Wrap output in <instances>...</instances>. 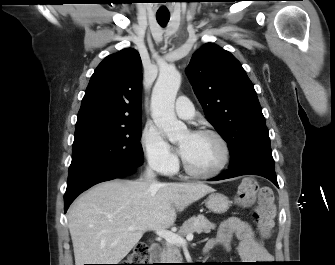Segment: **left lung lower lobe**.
Returning a JSON list of instances; mask_svg holds the SVG:
<instances>
[{
  "label": "left lung lower lobe",
  "mask_w": 335,
  "mask_h": 265,
  "mask_svg": "<svg viewBox=\"0 0 335 265\" xmlns=\"http://www.w3.org/2000/svg\"><path fill=\"white\" fill-rule=\"evenodd\" d=\"M248 174H253V175H260L262 177H265L269 179L272 183H274L277 187L278 182H277V177L275 170L266 168L263 166H258V165H248V166H243L239 168H230L219 175L216 178H213L211 180H223V179H228V178H233L241 175H248Z\"/></svg>",
  "instance_id": "obj_1"
}]
</instances>
